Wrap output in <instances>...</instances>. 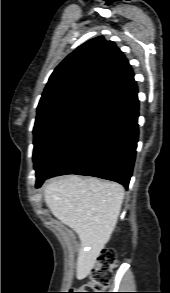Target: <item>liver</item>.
<instances>
[{"label":"liver","mask_w":170,"mask_h":293,"mask_svg":"<svg viewBox=\"0 0 170 293\" xmlns=\"http://www.w3.org/2000/svg\"><path fill=\"white\" fill-rule=\"evenodd\" d=\"M124 187L115 182L76 175L54 178L44 188L46 205L78 235L76 277H87L114 231L124 199Z\"/></svg>","instance_id":"liver-1"}]
</instances>
